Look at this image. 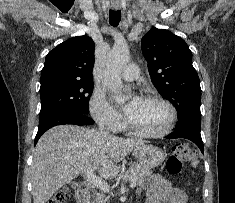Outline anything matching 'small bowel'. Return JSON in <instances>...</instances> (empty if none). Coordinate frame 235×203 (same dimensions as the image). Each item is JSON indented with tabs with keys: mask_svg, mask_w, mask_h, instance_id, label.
Masks as SVG:
<instances>
[{
	"mask_svg": "<svg viewBox=\"0 0 235 203\" xmlns=\"http://www.w3.org/2000/svg\"><path fill=\"white\" fill-rule=\"evenodd\" d=\"M143 188L147 193L146 203H187L185 193L172 187L171 183L160 175L149 177Z\"/></svg>",
	"mask_w": 235,
	"mask_h": 203,
	"instance_id": "small-bowel-1",
	"label": "small bowel"
}]
</instances>
